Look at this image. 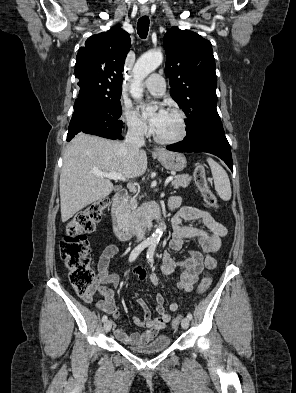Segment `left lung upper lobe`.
I'll return each instance as SVG.
<instances>
[{"instance_id": "obj_1", "label": "left lung upper lobe", "mask_w": 296, "mask_h": 393, "mask_svg": "<svg viewBox=\"0 0 296 393\" xmlns=\"http://www.w3.org/2000/svg\"><path fill=\"white\" fill-rule=\"evenodd\" d=\"M164 48L171 97L187 116V134L205 122L220 120L211 43L195 32L174 27L164 36Z\"/></svg>"}]
</instances>
